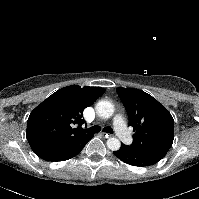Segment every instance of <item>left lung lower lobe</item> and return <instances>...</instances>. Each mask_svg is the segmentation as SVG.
<instances>
[{
	"label": "left lung lower lobe",
	"instance_id": "obj_1",
	"mask_svg": "<svg viewBox=\"0 0 199 199\" xmlns=\"http://www.w3.org/2000/svg\"><path fill=\"white\" fill-rule=\"evenodd\" d=\"M113 154L121 161L139 167L153 165L161 160L151 154L136 150L122 143L120 149L113 152Z\"/></svg>",
	"mask_w": 199,
	"mask_h": 199
}]
</instances>
